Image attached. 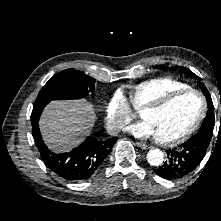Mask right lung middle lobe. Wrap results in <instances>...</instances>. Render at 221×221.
<instances>
[{
	"label": "right lung middle lobe",
	"instance_id": "right-lung-middle-lobe-1",
	"mask_svg": "<svg viewBox=\"0 0 221 221\" xmlns=\"http://www.w3.org/2000/svg\"><path fill=\"white\" fill-rule=\"evenodd\" d=\"M95 79L82 71L67 69L55 74L41 89L35 102L80 99L94 91Z\"/></svg>",
	"mask_w": 221,
	"mask_h": 221
}]
</instances>
